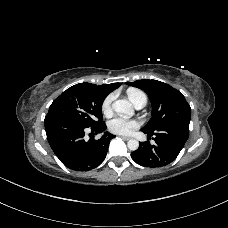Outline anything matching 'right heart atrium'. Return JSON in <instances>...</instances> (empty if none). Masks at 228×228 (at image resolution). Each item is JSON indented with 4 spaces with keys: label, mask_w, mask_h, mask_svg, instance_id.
I'll return each instance as SVG.
<instances>
[{
    "label": "right heart atrium",
    "mask_w": 228,
    "mask_h": 228,
    "mask_svg": "<svg viewBox=\"0 0 228 228\" xmlns=\"http://www.w3.org/2000/svg\"><path fill=\"white\" fill-rule=\"evenodd\" d=\"M113 98H114L113 95L109 94L108 96L105 97V99L101 104V110L106 115L111 112Z\"/></svg>",
    "instance_id": "d8ad5b80"
}]
</instances>
